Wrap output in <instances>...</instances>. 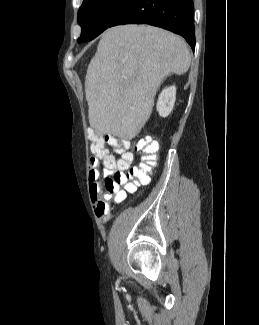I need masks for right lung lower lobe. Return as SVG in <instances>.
Masks as SVG:
<instances>
[{"label":"right lung lower lobe","mask_w":259,"mask_h":325,"mask_svg":"<svg viewBox=\"0 0 259 325\" xmlns=\"http://www.w3.org/2000/svg\"><path fill=\"white\" fill-rule=\"evenodd\" d=\"M149 24L181 35L195 47L193 0H127L109 27Z\"/></svg>","instance_id":"1"}]
</instances>
